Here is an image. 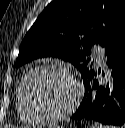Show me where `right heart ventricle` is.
<instances>
[{"label": "right heart ventricle", "mask_w": 125, "mask_h": 128, "mask_svg": "<svg viewBox=\"0 0 125 128\" xmlns=\"http://www.w3.org/2000/svg\"><path fill=\"white\" fill-rule=\"evenodd\" d=\"M24 81V77L20 81L17 90H16V101H17V114L19 118L26 124H36L38 121H36L26 110L23 100H22V84Z\"/></svg>", "instance_id": "e07e8e85"}]
</instances>
